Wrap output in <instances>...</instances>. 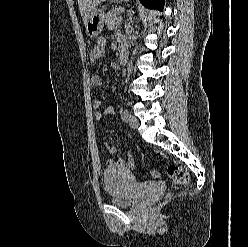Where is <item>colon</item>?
<instances>
[{
    "label": "colon",
    "instance_id": "5ec220e1",
    "mask_svg": "<svg viewBox=\"0 0 248 247\" xmlns=\"http://www.w3.org/2000/svg\"><path fill=\"white\" fill-rule=\"evenodd\" d=\"M167 174L169 178L179 186H186L189 183V174L188 172L181 166L176 164H171L167 168ZM150 175L152 177H158V172L151 171Z\"/></svg>",
    "mask_w": 248,
    "mask_h": 247
}]
</instances>
